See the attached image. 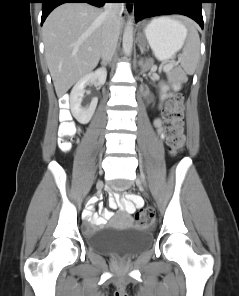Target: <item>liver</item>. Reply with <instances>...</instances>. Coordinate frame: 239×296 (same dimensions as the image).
<instances>
[{"mask_svg":"<svg viewBox=\"0 0 239 296\" xmlns=\"http://www.w3.org/2000/svg\"><path fill=\"white\" fill-rule=\"evenodd\" d=\"M103 12L87 3H66L54 9L44 22L45 58L58 97L97 66L103 41ZM122 26L121 19L119 30Z\"/></svg>","mask_w":239,"mask_h":296,"instance_id":"obj_1","label":"liver"}]
</instances>
